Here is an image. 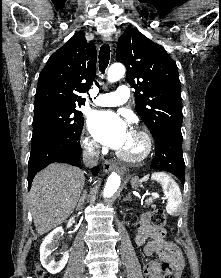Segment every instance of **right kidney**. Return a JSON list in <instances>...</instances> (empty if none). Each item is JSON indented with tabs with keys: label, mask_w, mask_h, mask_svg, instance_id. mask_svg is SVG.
Returning a JSON list of instances; mask_svg holds the SVG:
<instances>
[{
	"label": "right kidney",
	"mask_w": 221,
	"mask_h": 278,
	"mask_svg": "<svg viewBox=\"0 0 221 278\" xmlns=\"http://www.w3.org/2000/svg\"><path fill=\"white\" fill-rule=\"evenodd\" d=\"M63 228L58 227L54 229L42 242L40 246V261L42 266L51 274L59 273L66 265L69 253H61V258L55 261L52 252L56 249L58 240L63 236Z\"/></svg>",
	"instance_id": "1"
}]
</instances>
